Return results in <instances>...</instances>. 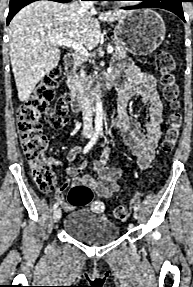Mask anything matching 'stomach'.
<instances>
[{"mask_svg": "<svg viewBox=\"0 0 193 287\" xmlns=\"http://www.w3.org/2000/svg\"><path fill=\"white\" fill-rule=\"evenodd\" d=\"M166 33L162 17L153 10L132 11L117 20L114 37L133 55L151 54L163 42Z\"/></svg>", "mask_w": 193, "mask_h": 287, "instance_id": "obj_1", "label": "stomach"}]
</instances>
